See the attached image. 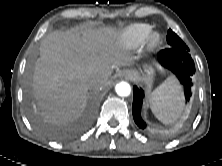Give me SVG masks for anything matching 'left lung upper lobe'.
Listing matches in <instances>:
<instances>
[{
  "label": "left lung upper lobe",
  "instance_id": "5c2ea615",
  "mask_svg": "<svg viewBox=\"0 0 222 166\" xmlns=\"http://www.w3.org/2000/svg\"><path fill=\"white\" fill-rule=\"evenodd\" d=\"M167 42L170 45V47L189 50L187 45L172 30H168Z\"/></svg>",
  "mask_w": 222,
  "mask_h": 166
}]
</instances>
